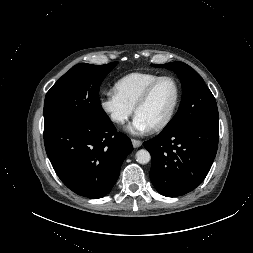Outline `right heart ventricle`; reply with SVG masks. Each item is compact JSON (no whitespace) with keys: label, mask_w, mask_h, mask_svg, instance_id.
Segmentation results:
<instances>
[{"label":"right heart ventricle","mask_w":253,"mask_h":253,"mask_svg":"<svg viewBox=\"0 0 253 253\" xmlns=\"http://www.w3.org/2000/svg\"><path fill=\"white\" fill-rule=\"evenodd\" d=\"M158 77L160 75L153 72H132L116 81L114 91L127 105L134 109L144 90Z\"/></svg>","instance_id":"obj_1"}]
</instances>
